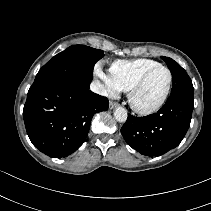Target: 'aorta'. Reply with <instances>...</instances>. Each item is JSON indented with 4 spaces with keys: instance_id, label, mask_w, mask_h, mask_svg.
I'll return each instance as SVG.
<instances>
[{
    "instance_id": "obj_1",
    "label": "aorta",
    "mask_w": 211,
    "mask_h": 211,
    "mask_svg": "<svg viewBox=\"0 0 211 211\" xmlns=\"http://www.w3.org/2000/svg\"><path fill=\"white\" fill-rule=\"evenodd\" d=\"M114 117L118 122H125L127 120V111L123 107H117L114 111Z\"/></svg>"
}]
</instances>
